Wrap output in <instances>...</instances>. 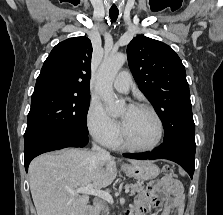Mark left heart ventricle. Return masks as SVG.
I'll return each mask as SVG.
<instances>
[{
    "label": "left heart ventricle",
    "instance_id": "obj_1",
    "mask_svg": "<svg viewBox=\"0 0 223 215\" xmlns=\"http://www.w3.org/2000/svg\"><path fill=\"white\" fill-rule=\"evenodd\" d=\"M124 138L132 145L146 147L151 145L157 136V126L153 117L141 109H123L120 113Z\"/></svg>",
    "mask_w": 223,
    "mask_h": 215
}]
</instances>
